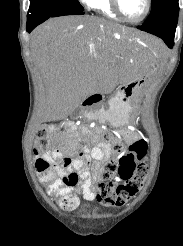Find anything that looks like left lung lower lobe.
<instances>
[{"label":"left lung lower lobe","mask_w":183,"mask_h":246,"mask_svg":"<svg viewBox=\"0 0 183 246\" xmlns=\"http://www.w3.org/2000/svg\"><path fill=\"white\" fill-rule=\"evenodd\" d=\"M178 12L155 24L148 26L141 25L138 29L160 37L169 48H172L174 45L175 30L178 22Z\"/></svg>","instance_id":"obj_1"}]
</instances>
